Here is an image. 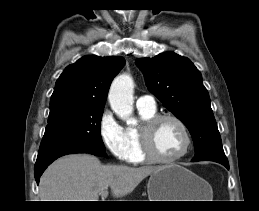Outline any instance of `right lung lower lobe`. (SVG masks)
Returning <instances> with one entry per match:
<instances>
[{
  "instance_id": "1",
  "label": "right lung lower lobe",
  "mask_w": 259,
  "mask_h": 211,
  "mask_svg": "<svg viewBox=\"0 0 259 211\" xmlns=\"http://www.w3.org/2000/svg\"><path fill=\"white\" fill-rule=\"evenodd\" d=\"M73 153H89L96 156L105 157L106 153L105 150H94V149H87L83 147H75V146H68V147H61L54 150H50L41 154H38L37 161L34 168L35 179L36 182L39 183L40 176L44 172V170L50 165L54 160L57 158Z\"/></svg>"
}]
</instances>
